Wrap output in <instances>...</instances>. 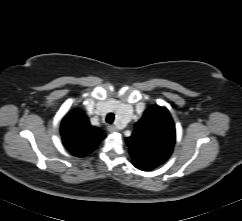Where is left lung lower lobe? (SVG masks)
I'll use <instances>...</instances> for the list:
<instances>
[{"instance_id": "1", "label": "left lung lower lobe", "mask_w": 242, "mask_h": 221, "mask_svg": "<svg viewBox=\"0 0 242 221\" xmlns=\"http://www.w3.org/2000/svg\"><path fill=\"white\" fill-rule=\"evenodd\" d=\"M136 168L143 170V171H150L152 169H154L155 167L152 166H135Z\"/></svg>"}]
</instances>
